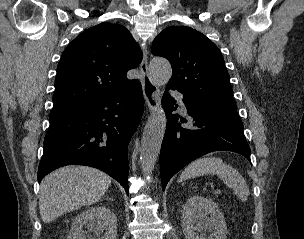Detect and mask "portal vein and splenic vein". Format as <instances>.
Returning <instances> with one entry per match:
<instances>
[{"mask_svg": "<svg viewBox=\"0 0 304 239\" xmlns=\"http://www.w3.org/2000/svg\"><path fill=\"white\" fill-rule=\"evenodd\" d=\"M214 192L216 193V194H219V193H221V190H214Z\"/></svg>", "mask_w": 304, "mask_h": 239, "instance_id": "portal-vein-and-splenic-vein-1", "label": "portal vein and splenic vein"}]
</instances>
